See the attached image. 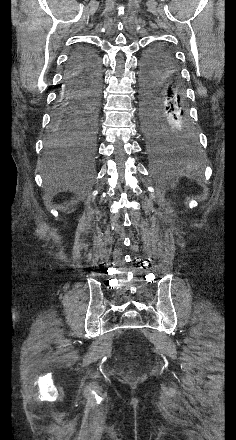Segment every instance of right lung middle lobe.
Returning a JSON list of instances; mask_svg holds the SVG:
<instances>
[{
  "mask_svg": "<svg viewBox=\"0 0 236 440\" xmlns=\"http://www.w3.org/2000/svg\"><path fill=\"white\" fill-rule=\"evenodd\" d=\"M101 94L98 82L87 84L81 98L87 101L83 120L76 129L51 131L45 146V159L61 163L76 156L89 159L93 155L97 108Z\"/></svg>",
  "mask_w": 236,
  "mask_h": 440,
  "instance_id": "dd1d6c3e",
  "label": "right lung middle lobe"
}]
</instances>
